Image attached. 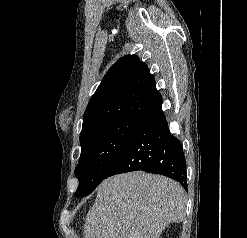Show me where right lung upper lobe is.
I'll return each mask as SVG.
<instances>
[{"mask_svg":"<svg viewBox=\"0 0 247 238\" xmlns=\"http://www.w3.org/2000/svg\"><path fill=\"white\" fill-rule=\"evenodd\" d=\"M162 97L147 65L136 55L120 58L106 73L84 113L80 138L123 118L149 119L162 111Z\"/></svg>","mask_w":247,"mask_h":238,"instance_id":"obj_1","label":"right lung upper lobe"}]
</instances>
